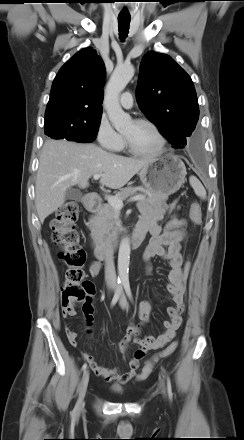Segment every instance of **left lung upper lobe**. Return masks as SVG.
<instances>
[{
    "label": "left lung upper lobe",
    "instance_id": "5c2ea615",
    "mask_svg": "<svg viewBox=\"0 0 244 440\" xmlns=\"http://www.w3.org/2000/svg\"><path fill=\"white\" fill-rule=\"evenodd\" d=\"M136 99L175 148H183L196 127L199 107L190 76L171 57L147 53L140 64Z\"/></svg>",
    "mask_w": 244,
    "mask_h": 440
}]
</instances>
